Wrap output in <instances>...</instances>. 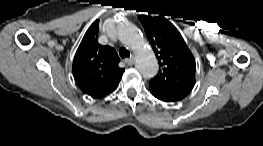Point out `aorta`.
<instances>
[{
    "label": "aorta",
    "mask_w": 263,
    "mask_h": 146,
    "mask_svg": "<svg viewBox=\"0 0 263 146\" xmlns=\"http://www.w3.org/2000/svg\"><path fill=\"white\" fill-rule=\"evenodd\" d=\"M121 41L136 53V68L146 78H151L158 71L154 52L148 46L139 29L126 24L119 31Z\"/></svg>",
    "instance_id": "aorta-1"
}]
</instances>
